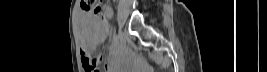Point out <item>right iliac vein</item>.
<instances>
[{
	"mask_svg": "<svg viewBox=\"0 0 267 72\" xmlns=\"http://www.w3.org/2000/svg\"><path fill=\"white\" fill-rule=\"evenodd\" d=\"M118 35H119L120 42L123 43L124 42V34L121 30H119Z\"/></svg>",
	"mask_w": 267,
	"mask_h": 72,
	"instance_id": "right-iliac-vein-1",
	"label": "right iliac vein"
}]
</instances>
